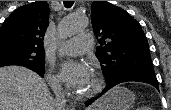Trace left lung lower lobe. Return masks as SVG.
Returning a JSON list of instances; mask_svg holds the SVG:
<instances>
[{
  "label": "left lung lower lobe",
  "instance_id": "obj_1",
  "mask_svg": "<svg viewBox=\"0 0 171 110\" xmlns=\"http://www.w3.org/2000/svg\"><path fill=\"white\" fill-rule=\"evenodd\" d=\"M127 81H137V82L148 83V84L154 86L155 88H157L159 90L158 81L156 79L155 74L131 73V74H126V75L119 76V77L115 78L114 80H112L111 82L107 83L106 88L95 99L99 98L101 95H103L105 92H107L109 89H111L115 85L120 84L122 82H127ZM95 99L88 100L86 102V105L87 106L90 105Z\"/></svg>",
  "mask_w": 171,
  "mask_h": 110
}]
</instances>
